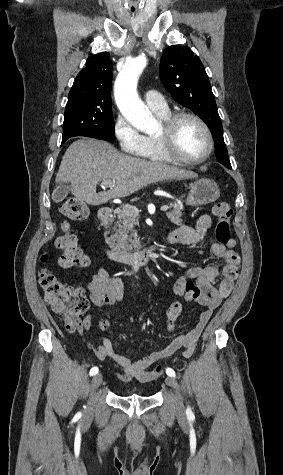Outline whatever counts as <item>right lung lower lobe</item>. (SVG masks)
<instances>
[{
  "label": "right lung lower lobe",
  "instance_id": "1",
  "mask_svg": "<svg viewBox=\"0 0 283 475\" xmlns=\"http://www.w3.org/2000/svg\"><path fill=\"white\" fill-rule=\"evenodd\" d=\"M68 139H69V138H68ZM66 140H67V139L63 138V139H62V144H63Z\"/></svg>",
  "mask_w": 283,
  "mask_h": 475
}]
</instances>
